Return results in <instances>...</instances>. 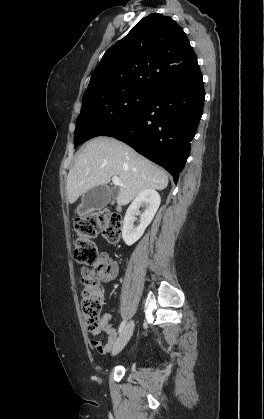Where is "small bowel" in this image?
Returning a JSON list of instances; mask_svg holds the SVG:
<instances>
[{
    "label": "small bowel",
    "instance_id": "small-bowel-1",
    "mask_svg": "<svg viewBox=\"0 0 264 419\" xmlns=\"http://www.w3.org/2000/svg\"><path fill=\"white\" fill-rule=\"evenodd\" d=\"M118 271L119 268L116 260L107 252H101L97 262L93 264L92 268H81L80 284L85 286L87 283H93L101 290V284L114 280L118 275ZM110 319L111 315L109 313L103 314L100 320V329L92 332L93 335H97L101 332L106 334L107 340L104 343L97 339L91 340V345L101 355L110 353L117 341V332L109 325Z\"/></svg>",
    "mask_w": 264,
    "mask_h": 419
}]
</instances>
